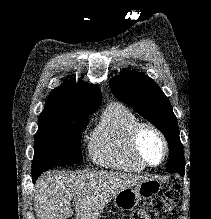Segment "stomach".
I'll list each match as a JSON object with an SVG mask.
<instances>
[{"label": "stomach", "mask_w": 211, "mask_h": 219, "mask_svg": "<svg viewBox=\"0 0 211 219\" xmlns=\"http://www.w3.org/2000/svg\"><path fill=\"white\" fill-rule=\"evenodd\" d=\"M160 189L161 185L157 180L147 179L138 185L121 190L113 197V205L120 210L133 209L140 200L151 198Z\"/></svg>", "instance_id": "obj_1"}]
</instances>
